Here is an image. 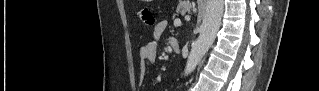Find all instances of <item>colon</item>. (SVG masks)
I'll return each mask as SVG.
<instances>
[{"instance_id": "1", "label": "colon", "mask_w": 319, "mask_h": 91, "mask_svg": "<svg viewBox=\"0 0 319 91\" xmlns=\"http://www.w3.org/2000/svg\"><path fill=\"white\" fill-rule=\"evenodd\" d=\"M138 18L146 26L155 25V17L153 15L152 9L149 7H142L138 11Z\"/></svg>"}]
</instances>
